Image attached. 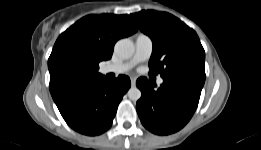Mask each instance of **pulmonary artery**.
I'll list each match as a JSON object with an SVG mask.
<instances>
[{
    "label": "pulmonary artery",
    "mask_w": 261,
    "mask_h": 150,
    "mask_svg": "<svg viewBox=\"0 0 261 150\" xmlns=\"http://www.w3.org/2000/svg\"><path fill=\"white\" fill-rule=\"evenodd\" d=\"M153 50V42L151 38L145 34H139L135 39V52L131 59L121 63H114L105 65L101 72L104 74L115 73L121 74L129 71L140 62L146 61L150 58ZM157 83H163V78L159 77Z\"/></svg>",
    "instance_id": "pulmonary-artery-1"
}]
</instances>
